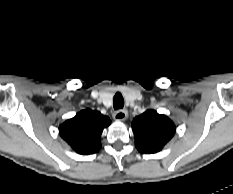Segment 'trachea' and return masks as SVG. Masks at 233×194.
Here are the masks:
<instances>
[{
  "instance_id": "3493384b",
  "label": "trachea",
  "mask_w": 233,
  "mask_h": 194,
  "mask_svg": "<svg viewBox=\"0 0 233 194\" xmlns=\"http://www.w3.org/2000/svg\"><path fill=\"white\" fill-rule=\"evenodd\" d=\"M113 107L115 110L122 109L124 107V99L121 93H116L113 98Z\"/></svg>"
}]
</instances>
